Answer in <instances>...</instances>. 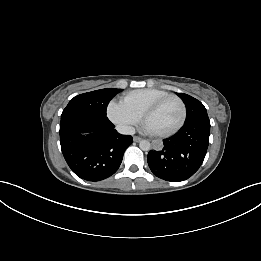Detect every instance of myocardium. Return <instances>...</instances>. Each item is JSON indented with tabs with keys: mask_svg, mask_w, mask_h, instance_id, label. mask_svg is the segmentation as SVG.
Masks as SVG:
<instances>
[{
	"mask_svg": "<svg viewBox=\"0 0 261 261\" xmlns=\"http://www.w3.org/2000/svg\"><path fill=\"white\" fill-rule=\"evenodd\" d=\"M174 99L176 100L181 108V117L179 122L176 124V126L168 131L165 132H151L153 135L158 136V137H169L174 135L176 132H178L182 126L184 125L185 119H186V105L182 98L175 94H169L166 95L155 102H153L150 106L146 108V110L142 114V122L145 125L147 118L154 113L162 104H164L166 101Z\"/></svg>",
	"mask_w": 261,
	"mask_h": 261,
	"instance_id": "myocardium-1",
	"label": "myocardium"
}]
</instances>
